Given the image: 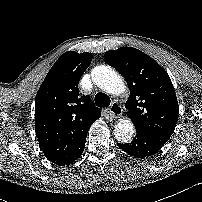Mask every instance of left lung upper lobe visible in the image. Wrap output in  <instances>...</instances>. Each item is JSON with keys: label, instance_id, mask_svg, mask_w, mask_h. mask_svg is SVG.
Returning a JSON list of instances; mask_svg holds the SVG:
<instances>
[{"label": "left lung upper lobe", "instance_id": "1", "mask_svg": "<svg viewBox=\"0 0 202 202\" xmlns=\"http://www.w3.org/2000/svg\"><path fill=\"white\" fill-rule=\"evenodd\" d=\"M130 88L126 102L136 131L170 137L178 118V102L166 71L151 57L133 47H121L105 53Z\"/></svg>", "mask_w": 202, "mask_h": 202}]
</instances>
